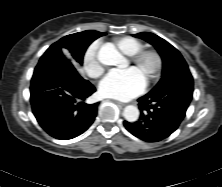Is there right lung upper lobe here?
Returning a JSON list of instances; mask_svg holds the SVG:
<instances>
[{"instance_id": "1", "label": "right lung upper lobe", "mask_w": 222, "mask_h": 187, "mask_svg": "<svg viewBox=\"0 0 222 187\" xmlns=\"http://www.w3.org/2000/svg\"><path fill=\"white\" fill-rule=\"evenodd\" d=\"M86 32L93 34V35H101L103 34L102 32H97V31H92V30H87ZM47 55H49L48 53H46Z\"/></svg>"}]
</instances>
